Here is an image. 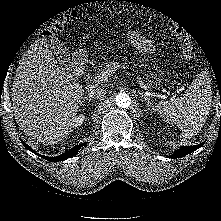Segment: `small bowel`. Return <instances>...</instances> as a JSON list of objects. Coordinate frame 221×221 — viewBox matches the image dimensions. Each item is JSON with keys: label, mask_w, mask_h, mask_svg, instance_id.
<instances>
[{"label": "small bowel", "mask_w": 221, "mask_h": 221, "mask_svg": "<svg viewBox=\"0 0 221 221\" xmlns=\"http://www.w3.org/2000/svg\"><path fill=\"white\" fill-rule=\"evenodd\" d=\"M128 40L131 45L141 53L149 54L155 51V47L152 42L136 31H130L128 33Z\"/></svg>", "instance_id": "small-bowel-1"}]
</instances>
